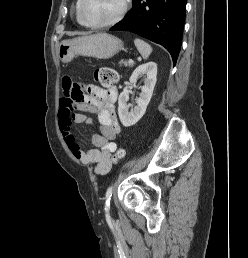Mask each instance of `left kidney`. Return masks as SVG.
<instances>
[{"label":"left kidney","mask_w":248,"mask_h":258,"mask_svg":"<svg viewBox=\"0 0 248 258\" xmlns=\"http://www.w3.org/2000/svg\"><path fill=\"white\" fill-rule=\"evenodd\" d=\"M145 76L144 85L141 86L140 97L137 99V106L130 112L127 108L129 100L128 86H126L118 99V115L124 127H130L136 124L145 114L146 108L151 100L153 90L156 84L157 64L147 62L138 66L130 77V83H136L138 78Z\"/></svg>","instance_id":"left-kidney-1"}]
</instances>
